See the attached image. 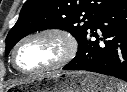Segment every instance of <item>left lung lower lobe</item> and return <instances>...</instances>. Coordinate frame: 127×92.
Wrapping results in <instances>:
<instances>
[{"instance_id": "0a47b994", "label": "left lung lower lobe", "mask_w": 127, "mask_h": 92, "mask_svg": "<svg viewBox=\"0 0 127 92\" xmlns=\"http://www.w3.org/2000/svg\"><path fill=\"white\" fill-rule=\"evenodd\" d=\"M97 29L104 38L99 39ZM91 37H96L91 41ZM105 46L99 45L103 40ZM65 70H86L114 76L127 82V0L109 8L79 42L75 58Z\"/></svg>"}]
</instances>
